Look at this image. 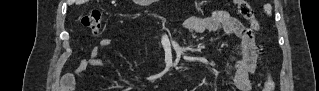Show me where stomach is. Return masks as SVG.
I'll use <instances>...</instances> for the list:
<instances>
[{"instance_id": "obj_1", "label": "stomach", "mask_w": 319, "mask_h": 91, "mask_svg": "<svg viewBox=\"0 0 319 91\" xmlns=\"http://www.w3.org/2000/svg\"><path fill=\"white\" fill-rule=\"evenodd\" d=\"M138 2H142V3H150V2H152V0H139Z\"/></svg>"}]
</instances>
